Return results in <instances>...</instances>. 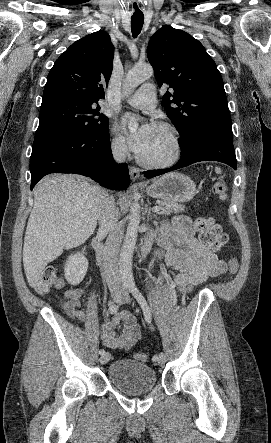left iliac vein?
<instances>
[{
    "mask_svg": "<svg viewBox=\"0 0 271 443\" xmlns=\"http://www.w3.org/2000/svg\"><path fill=\"white\" fill-rule=\"evenodd\" d=\"M130 301H131V299H130V297L128 296V295H125L124 297H123V299H122V303H130ZM165 362H166V358H165V355H164V353L163 352H161V353H159V357H158V364L160 365V366H162V365H164L165 364Z\"/></svg>",
    "mask_w": 271,
    "mask_h": 443,
    "instance_id": "1",
    "label": "left iliac vein"
}]
</instances>
